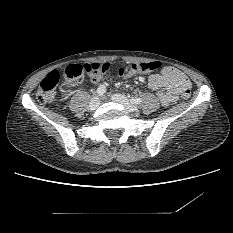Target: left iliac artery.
<instances>
[{"label": "left iliac artery", "instance_id": "44dca946", "mask_svg": "<svg viewBox=\"0 0 233 233\" xmlns=\"http://www.w3.org/2000/svg\"><path fill=\"white\" fill-rule=\"evenodd\" d=\"M131 102L134 104H141L142 103V99L141 98H132Z\"/></svg>", "mask_w": 233, "mask_h": 233}]
</instances>
